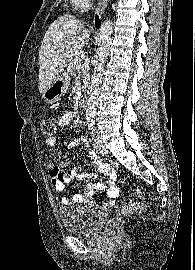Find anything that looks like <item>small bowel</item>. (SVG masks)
I'll return each instance as SVG.
<instances>
[{
	"label": "small bowel",
	"instance_id": "c3829d8e",
	"mask_svg": "<svg viewBox=\"0 0 195 270\" xmlns=\"http://www.w3.org/2000/svg\"><path fill=\"white\" fill-rule=\"evenodd\" d=\"M74 119V113L71 111L65 112L59 120V127H66ZM84 141L83 137L76 138L73 140L69 147L76 146ZM46 143L53 147L57 144V137L55 135L48 137ZM86 151L91 159L92 165L96 167L100 174L108 176L107 181L98 182H88L85 185V190L81 194H74L72 197L62 196L61 202L65 205L71 203H93L94 195L96 191H106L109 198V205H113L116 198L119 195V188L116 186L115 181L117 178L116 170L110 166L108 163L102 161L96 152L89 146L85 145ZM66 167V163L52 162L48 165V172L51 178V183L53 188L57 192H63L65 190L66 184L70 183L73 178L77 177L80 181L86 179L97 178L98 176L93 173H81L76 175L74 170L68 171L66 173L62 170Z\"/></svg>",
	"mask_w": 195,
	"mask_h": 270
}]
</instances>
